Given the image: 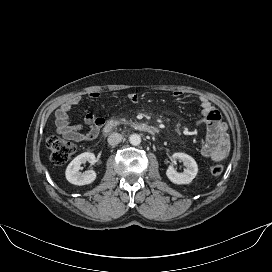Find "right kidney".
I'll return each instance as SVG.
<instances>
[{
  "mask_svg": "<svg viewBox=\"0 0 272 272\" xmlns=\"http://www.w3.org/2000/svg\"><path fill=\"white\" fill-rule=\"evenodd\" d=\"M89 162L94 164L96 162L95 155L90 152H85L75 157L67 166L65 171L66 179L74 185H86L92 183L96 179L94 170H87L83 173L79 172L81 164Z\"/></svg>",
  "mask_w": 272,
  "mask_h": 272,
  "instance_id": "1",
  "label": "right kidney"
}]
</instances>
